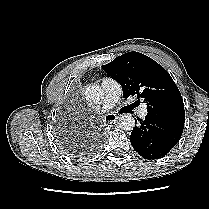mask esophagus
Instances as JSON below:
<instances>
[{
  "label": "esophagus",
  "mask_w": 209,
  "mask_h": 209,
  "mask_svg": "<svg viewBox=\"0 0 209 209\" xmlns=\"http://www.w3.org/2000/svg\"><path fill=\"white\" fill-rule=\"evenodd\" d=\"M107 116L110 118V120H107L108 123H115L118 119V116L115 114H109Z\"/></svg>",
  "instance_id": "obj_1"
}]
</instances>
